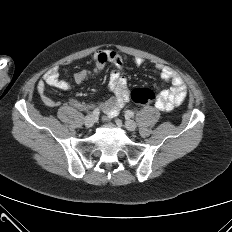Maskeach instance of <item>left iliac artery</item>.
Returning a JSON list of instances; mask_svg holds the SVG:
<instances>
[{
	"label": "left iliac artery",
	"instance_id": "1",
	"mask_svg": "<svg viewBox=\"0 0 232 232\" xmlns=\"http://www.w3.org/2000/svg\"><path fill=\"white\" fill-rule=\"evenodd\" d=\"M126 116H128V117H134V112H132V111H130V110H127L126 111Z\"/></svg>",
	"mask_w": 232,
	"mask_h": 232
}]
</instances>
